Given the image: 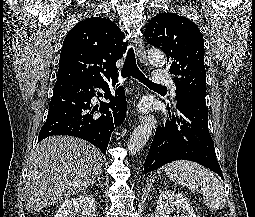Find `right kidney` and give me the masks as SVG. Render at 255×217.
<instances>
[{
    "label": "right kidney",
    "mask_w": 255,
    "mask_h": 217,
    "mask_svg": "<svg viewBox=\"0 0 255 217\" xmlns=\"http://www.w3.org/2000/svg\"><path fill=\"white\" fill-rule=\"evenodd\" d=\"M81 212V217H96V205L90 195H78L65 200L54 217H69L70 214Z\"/></svg>",
    "instance_id": "right-kidney-1"
}]
</instances>
